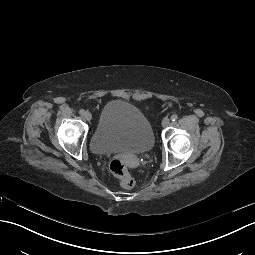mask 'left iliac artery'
<instances>
[{
    "mask_svg": "<svg viewBox=\"0 0 255 255\" xmlns=\"http://www.w3.org/2000/svg\"><path fill=\"white\" fill-rule=\"evenodd\" d=\"M178 119V116L176 114H173L171 116V121H176Z\"/></svg>",
    "mask_w": 255,
    "mask_h": 255,
    "instance_id": "44dca946",
    "label": "left iliac artery"
}]
</instances>
